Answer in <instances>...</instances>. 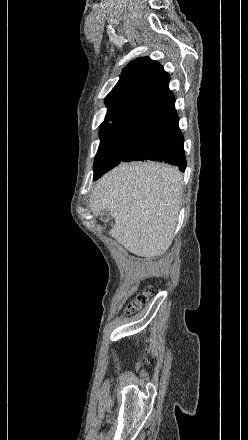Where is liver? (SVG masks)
Returning <instances> with one entry per match:
<instances>
[{
	"label": "liver",
	"mask_w": 248,
	"mask_h": 440,
	"mask_svg": "<svg viewBox=\"0 0 248 440\" xmlns=\"http://www.w3.org/2000/svg\"><path fill=\"white\" fill-rule=\"evenodd\" d=\"M182 176L176 167L154 162L121 163L96 184L89 207L108 209L109 234L129 252L158 257L170 247L181 203Z\"/></svg>",
	"instance_id": "obj_1"
}]
</instances>
